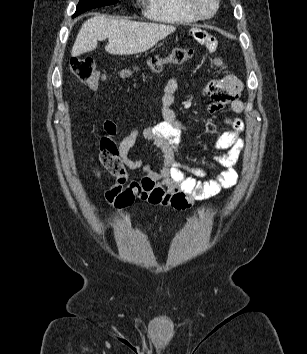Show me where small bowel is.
<instances>
[{
  "label": "small bowel",
  "mask_w": 307,
  "mask_h": 354,
  "mask_svg": "<svg viewBox=\"0 0 307 354\" xmlns=\"http://www.w3.org/2000/svg\"><path fill=\"white\" fill-rule=\"evenodd\" d=\"M191 36L205 49L213 51L217 47L216 39L202 29H193ZM217 65L223 66L220 60ZM178 81L171 77L163 90V121L145 127L142 130L133 128L119 142L114 141L117 125L112 120L102 123L104 135L100 141L99 162L115 177V183L106 191V200L116 207H127L136 200H143L152 205L170 206L176 210L190 208L195 201L216 196L224 188L232 187L237 182V171L240 154L244 147L241 132L244 129L239 115L244 110L238 99L242 85L232 76L223 83H213L210 87L212 103L208 112L219 113L223 105L230 102L232 115L224 119L228 128L216 139L213 148L222 153L214 156L212 161L222 168L215 179L203 180L207 170L200 165H189L182 162L177 155L182 133L187 127L181 123L172 109L175 101ZM142 136L164 155V164L160 172H155L141 160L129 156L138 138ZM91 168L96 178L101 177V170L95 162ZM141 170L143 177L137 181L129 180V170Z\"/></svg>",
  "instance_id": "c3829d8e"
}]
</instances>
